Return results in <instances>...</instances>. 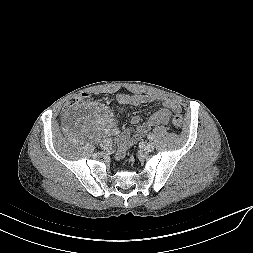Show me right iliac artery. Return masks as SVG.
Masks as SVG:
<instances>
[{
  "instance_id": "obj_1",
  "label": "right iliac artery",
  "mask_w": 253,
  "mask_h": 253,
  "mask_svg": "<svg viewBox=\"0 0 253 253\" xmlns=\"http://www.w3.org/2000/svg\"><path fill=\"white\" fill-rule=\"evenodd\" d=\"M110 133L112 135H118L120 133V130L118 128L114 127L111 129Z\"/></svg>"
}]
</instances>
